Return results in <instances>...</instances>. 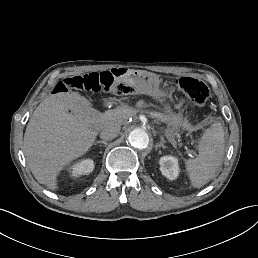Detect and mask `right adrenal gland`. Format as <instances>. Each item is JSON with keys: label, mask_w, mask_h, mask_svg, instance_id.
<instances>
[{"label": "right adrenal gland", "mask_w": 258, "mask_h": 258, "mask_svg": "<svg viewBox=\"0 0 258 258\" xmlns=\"http://www.w3.org/2000/svg\"><path fill=\"white\" fill-rule=\"evenodd\" d=\"M104 144L105 146H107L108 145V143L106 142V141H104V140H101V141H97L96 142V144Z\"/></svg>", "instance_id": "1"}]
</instances>
